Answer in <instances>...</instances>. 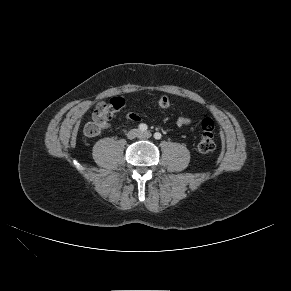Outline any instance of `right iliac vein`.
Wrapping results in <instances>:
<instances>
[{
  "instance_id": "obj_1",
  "label": "right iliac vein",
  "mask_w": 291,
  "mask_h": 291,
  "mask_svg": "<svg viewBox=\"0 0 291 291\" xmlns=\"http://www.w3.org/2000/svg\"><path fill=\"white\" fill-rule=\"evenodd\" d=\"M140 136V132L138 129H131L128 133H127V137L128 139H134L136 137Z\"/></svg>"
}]
</instances>
